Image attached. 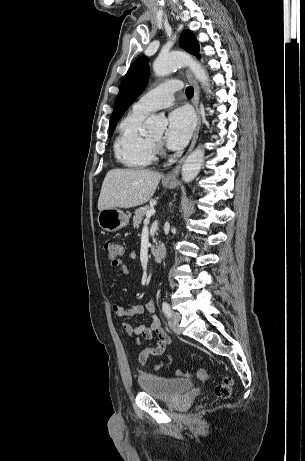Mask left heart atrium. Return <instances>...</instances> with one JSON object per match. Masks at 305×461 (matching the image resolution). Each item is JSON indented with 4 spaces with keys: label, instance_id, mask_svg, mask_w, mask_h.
<instances>
[{
    "label": "left heart atrium",
    "instance_id": "obj_1",
    "mask_svg": "<svg viewBox=\"0 0 305 461\" xmlns=\"http://www.w3.org/2000/svg\"><path fill=\"white\" fill-rule=\"evenodd\" d=\"M194 124V116L188 108L183 107L172 111L168 117L166 145L173 150L183 148L192 135Z\"/></svg>",
    "mask_w": 305,
    "mask_h": 461
}]
</instances>
